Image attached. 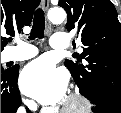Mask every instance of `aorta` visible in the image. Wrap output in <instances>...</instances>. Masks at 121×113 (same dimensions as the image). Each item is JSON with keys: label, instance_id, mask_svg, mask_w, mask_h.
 <instances>
[{"label": "aorta", "instance_id": "762f6f07", "mask_svg": "<svg viewBox=\"0 0 121 113\" xmlns=\"http://www.w3.org/2000/svg\"><path fill=\"white\" fill-rule=\"evenodd\" d=\"M49 20L54 24L62 23L66 18V12L61 8H53L48 12Z\"/></svg>", "mask_w": 121, "mask_h": 113}]
</instances>
